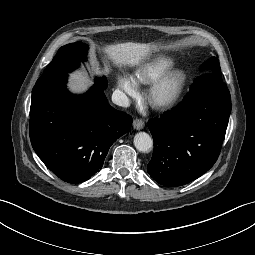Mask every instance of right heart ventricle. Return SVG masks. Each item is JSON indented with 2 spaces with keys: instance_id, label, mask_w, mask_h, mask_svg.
I'll use <instances>...</instances> for the list:
<instances>
[{
  "instance_id": "obj_1",
  "label": "right heart ventricle",
  "mask_w": 255,
  "mask_h": 255,
  "mask_svg": "<svg viewBox=\"0 0 255 255\" xmlns=\"http://www.w3.org/2000/svg\"><path fill=\"white\" fill-rule=\"evenodd\" d=\"M174 65L175 62L171 57L166 55L158 56L143 64L136 71V80L142 84H151L171 70Z\"/></svg>"
}]
</instances>
